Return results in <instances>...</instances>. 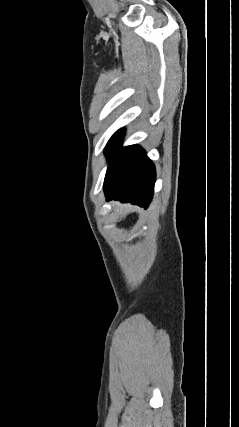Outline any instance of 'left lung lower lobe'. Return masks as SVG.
<instances>
[{
	"label": "left lung lower lobe",
	"mask_w": 239,
	"mask_h": 427,
	"mask_svg": "<svg viewBox=\"0 0 239 427\" xmlns=\"http://www.w3.org/2000/svg\"><path fill=\"white\" fill-rule=\"evenodd\" d=\"M123 134L124 129L117 132L105 147L110 159L104 180L106 200L147 208L154 190L155 167L140 146L120 147Z\"/></svg>",
	"instance_id": "0a47b994"
}]
</instances>
